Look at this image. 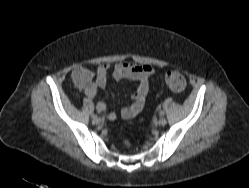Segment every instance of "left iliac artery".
Instances as JSON below:
<instances>
[{
	"mask_svg": "<svg viewBox=\"0 0 249 188\" xmlns=\"http://www.w3.org/2000/svg\"><path fill=\"white\" fill-rule=\"evenodd\" d=\"M164 114H165V113H164L163 111L160 112V115H161V116H164Z\"/></svg>",
	"mask_w": 249,
	"mask_h": 188,
	"instance_id": "1",
	"label": "left iliac artery"
}]
</instances>
